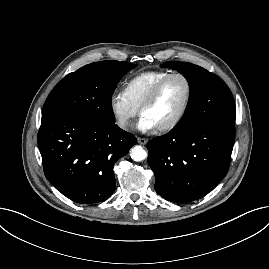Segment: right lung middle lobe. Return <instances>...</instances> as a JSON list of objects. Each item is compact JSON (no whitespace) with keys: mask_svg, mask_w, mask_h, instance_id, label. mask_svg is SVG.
Segmentation results:
<instances>
[{"mask_svg":"<svg viewBox=\"0 0 269 269\" xmlns=\"http://www.w3.org/2000/svg\"><path fill=\"white\" fill-rule=\"evenodd\" d=\"M135 64L101 61L85 65L66 75L50 92L42 118L54 115L79 117L91 122L115 123L111 97L117 83Z\"/></svg>","mask_w":269,"mask_h":269,"instance_id":"1","label":"right lung middle lobe"}]
</instances>
